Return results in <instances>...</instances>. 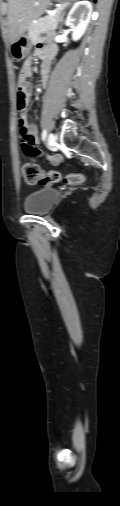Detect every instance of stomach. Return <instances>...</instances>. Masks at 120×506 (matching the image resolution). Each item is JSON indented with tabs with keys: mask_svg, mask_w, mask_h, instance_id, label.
I'll use <instances>...</instances> for the list:
<instances>
[{
	"mask_svg": "<svg viewBox=\"0 0 120 506\" xmlns=\"http://www.w3.org/2000/svg\"><path fill=\"white\" fill-rule=\"evenodd\" d=\"M57 1L67 5L74 0H57ZM32 45L33 42L30 39L29 35L24 33L16 41L11 43L12 57L17 61L25 59L29 55Z\"/></svg>",
	"mask_w": 120,
	"mask_h": 506,
	"instance_id": "obj_1",
	"label": "stomach"
}]
</instances>
